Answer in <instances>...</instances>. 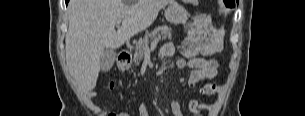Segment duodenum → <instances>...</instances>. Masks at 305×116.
Listing matches in <instances>:
<instances>
[{
    "mask_svg": "<svg viewBox=\"0 0 305 116\" xmlns=\"http://www.w3.org/2000/svg\"><path fill=\"white\" fill-rule=\"evenodd\" d=\"M130 59H131L130 52L123 50L118 53L117 62L122 69H124L127 66V64L130 62Z\"/></svg>",
    "mask_w": 305,
    "mask_h": 116,
    "instance_id": "1",
    "label": "duodenum"
}]
</instances>
